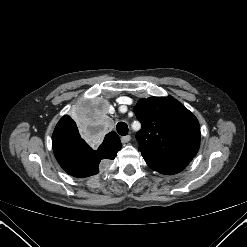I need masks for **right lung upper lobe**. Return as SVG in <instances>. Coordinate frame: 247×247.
Here are the masks:
<instances>
[{
  "mask_svg": "<svg viewBox=\"0 0 247 247\" xmlns=\"http://www.w3.org/2000/svg\"><path fill=\"white\" fill-rule=\"evenodd\" d=\"M55 131H64L72 134H79L76 123L71 119L70 116H63L55 127ZM100 148L111 149L113 151H119L121 143L118 135L115 132L108 133L103 143L99 146Z\"/></svg>",
  "mask_w": 247,
  "mask_h": 247,
  "instance_id": "cb5924a9",
  "label": "right lung upper lobe"
}]
</instances>
